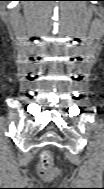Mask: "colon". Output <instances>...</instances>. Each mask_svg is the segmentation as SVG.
I'll return each instance as SVG.
<instances>
[{
  "instance_id": "colon-1",
  "label": "colon",
  "mask_w": 104,
  "mask_h": 189,
  "mask_svg": "<svg viewBox=\"0 0 104 189\" xmlns=\"http://www.w3.org/2000/svg\"><path fill=\"white\" fill-rule=\"evenodd\" d=\"M38 173L44 179H53L58 175V171L53 166L52 155L49 151L40 154Z\"/></svg>"
}]
</instances>
